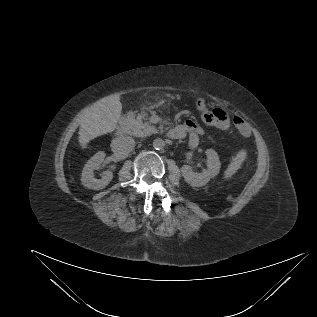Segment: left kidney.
Returning a JSON list of instances; mask_svg holds the SVG:
<instances>
[{"instance_id": "1", "label": "left kidney", "mask_w": 317, "mask_h": 317, "mask_svg": "<svg viewBox=\"0 0 317 317\" xmlns=\"http://www.w3.org/2000/svg\"><path fill=\"white\" fill-rule=\"evenodd\" d=\"M205 153L208 158V165L207 169H204L201 173L194 172L189 165H184L181 168L185 181L193 187L204 186L211 178L219 174L221 163L217 152L214 149H207Z\"/></svg>"}]
</instances>
